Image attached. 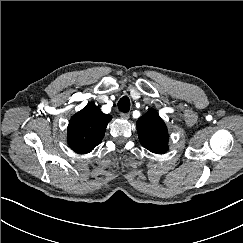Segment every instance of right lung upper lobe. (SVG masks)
<instances>
[{
  "mask_svg": "<svg viewBox=\"0 0 243 243\" xmlns=\"http://www.w3.org/2000/svg\"><path fill=\"white\" fill-rule=\"evenodd\" d=\"M111 115L104 114L93 103L73 115L67 128L69 147L77 153L91 152L103 139Z\"/></svg>",
  "mask_w": 243,
  "mask_h": 243,
  "instance_id": "cb5924a9",
  "label": "right lung upper lobe"
}]
</instances>
